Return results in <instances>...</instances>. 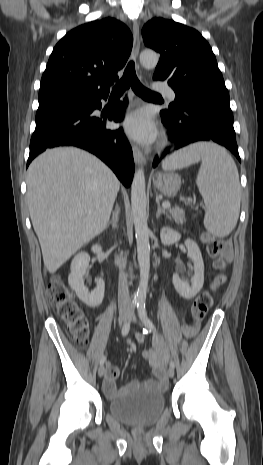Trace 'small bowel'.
Listing matches in <instances>:
<instances>
[{"label":"small bowel","instance_id":"obj_1","mask_svg":"<svg viewBox=\"0 0 263 465\" xmlns=\"http://www.w3.org/2000/svg\"><path fill=\"white\" fill-rule=\"evenodd\" d=\"M203 327L204 322H198L197 329H194V334H203ZM182 330H184V334L188 336L193 334L192 330L187 328V325H182ZM135 338L138 343H142L144 341L143 334L139 333ZM142 355L151 366L155 378L141 382L134 380L131 381L127 387L117 389L116 379L119 377L120 370L115 366H108L103 382V388L107 396L115 397L118 394L125 392L128 388L140 385L150 389H164L167 386L165 366L169 354L163 339L160 336H155L152 340V348L144 350Z\"/></svg>","mask_w":263,"mask_h":465}]
</instances>
